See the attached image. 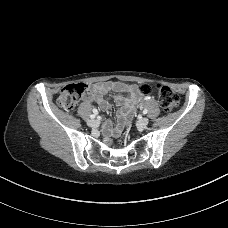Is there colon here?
I'll use <instances>...</instances> for the list:
<instances>
[{
    "label": "colon",
    "instance_id": "1",
    "mask_svg": "<svg viewBox=\"0 0 228 228\" xmlns=\"http://www.w3.org/2000/svg\"><path fill=\"white\" fill-rule=\"evenodd\" d=\"M88 91L85 83H73L65 86L59 93L58 104L65 111L72 110L79 99ZM139 91L143 95L150 93L149 85H141ZM155 92L162 110L166 113L172 112L179 106L178 96L167 86L156 85Z\"/></svg>",
    "mask_w": 228,
    "mask_h": 228
}]
</instances>
